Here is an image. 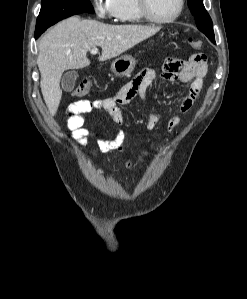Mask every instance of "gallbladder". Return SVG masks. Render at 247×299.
<instances>
[{
  "label": "gallbladder",
  "instance_id": "obj_1",
  "mask_svg": "<svg viewBox=\"0 0 247 299\" xmlns=\"http://www.w3.org/2000/svg\"><path fill=\"white\" fill-rule=\"evenodd\" d=\"M77 78H78V73L76 71L74 70L67 71L61 79V85L63 90L66 92H71L75 87Z\"/></svg>",
  "mask_w": 247,
  "mask_h": 299
}]
</instances>
